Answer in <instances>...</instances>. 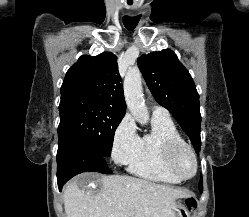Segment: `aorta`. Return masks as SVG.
Segmentation results:
<instances>
[{"instance_id": "762f6f07", "label": "aorta", "mask_w": 249, "mask_h": 217, "mask_svg": "<svg viewBox=\"0 0 249 217\" xmlns=\"http://www.w3.org/2000/svg\"><path fill=\"white\" fill-rule=\"evenodd\" d=\"M124 95L128 109L136 121L145 125L149 121L148 109L142 91V77L139 69H130L124 79Z\"/></svg>"}]
</instances>
